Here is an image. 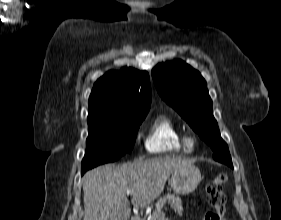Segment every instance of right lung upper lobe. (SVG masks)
I'll return each mask as SVG.
<instances>
[{"mask_svg": "<svg viewBox=\"0 0 281 220\" xmlns=\"http://www.w3.org/2000/svg\"><path fill=\"white\" fill-rule=\"evenodd\" d=\"M151 105L149 75L122 68L97 80L89 98L88 121H109L147 115Z\"/></svg>", "mask_w": 281, "mask_h": 220, "instance_id": "1", "label": "right lung upper lobe"}]
</instances>
